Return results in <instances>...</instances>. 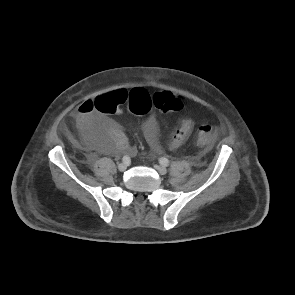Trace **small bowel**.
<instances>
[{"mask_svg":"<svg viewBox=\"0 0 295 295\" xmlns=\"http://www.w3.org/2000/svg\"><path fill=\"white\" fill-rule=\"evenodd\" d=\"M73 118L85 141L98 151L112 154L124 152L131 156L136 154L125 134L111 119L104 117L95 107L93 100L80 104L73 113ZM145 137L150 146L151 155L160 154L162 148L158 141L156 119L148 117L142 124ZM194 127L192 117H185L172 135L169 147L179 149L188 139Z\"/></svg>","mask_w":295,"mask_h":295,"instance_id":"small-bowel-1","label":"small bowel"}]
</instances>
